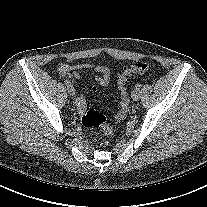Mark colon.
<instances>
[{
  "label": "colon",
  "mask_w": 207,
  "mask_h": 207,
  "mask_svg": "<svg viewBox=\"0 0 207 207\" xmlns=\"http://www.w3.org/2000/svg\"><path fill=\"white\" fill-rule=\"evenodd\" d=\"M149 68L150 66L148 63L138 62L132 64L131 66L125 67L119 74L118 88L121 93V108L116 116L117 121H123L127 117L130 109V100L126 88V82L128 78L133 75L143 74L147 72ZM96 90V87L92 88L93 92ZM75 106L80 114L81 123L84 127L101 129L105 135H110L113 132L112 127L107 123L105 116L101 112L87 108V101L85 96H78L75 101Z\"/></svg>",
  "instance_id": "obj_1"
}]
</instances>
